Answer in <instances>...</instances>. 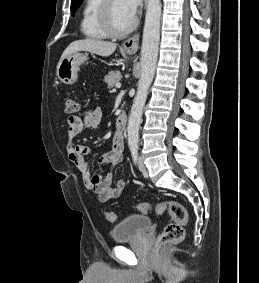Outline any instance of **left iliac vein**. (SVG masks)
Here are the masks:
<instances>
[{
	"label": "left iliac vein",
	"mask_w": 259,
	"mask_h": 283,
	"mask_svg": "<svg viewBox=\"0 0 259 283\" xmlns=\"http://www.w3.org/2000/svg\"><path fill=\"white\" fill-rule=\"evenodd\" d=\"M138 166H139V170L143 173V175L145 177H147L148 176V171H147V168H146V166H145V164H144V162H143L141 157H139V159H138Z\"/></svg>",
	"instance_id": "4c4485c4"
}]
</instances>
